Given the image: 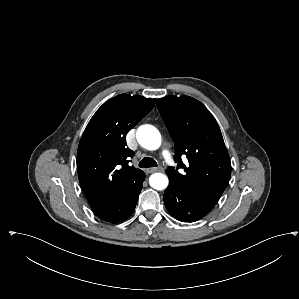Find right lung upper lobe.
<instances>
[{
  "instance_id": "cb5924a9",
  "label": "right lung upper lobe",
  "mask_w": 299,
  "mask_h": 299,
  "mask_svg": "<svg viewBox=\"0 0 299 299\" xmlns=\"http://www.w3.org/2000/svg\"><path fill=\"white\" fill-rule=\"evenodd\" d=\"M155 105V99L118 95L104 103L88 123L77 152L81 188L98 214L119 199L143 171L128 165L133 151L126 134Z\"/></svg>"
}]
</instances>
